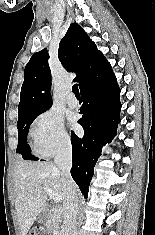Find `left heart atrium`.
<instances>
[{"label": "left heart atrium", "mask_w": 155, "mask_h": 235, "mask_svg": "<svg viewBox=\"0 0 155 235\" xmlns=\"http://www.w3.org/2000/svg\"><path fill=\"white\" fill-rule=\"evenodd\" d=\"M72 123H73V124H75V121H74V119H72Z\"/></svg>", "instance_id": "39dd6f15"}]
</instances>
